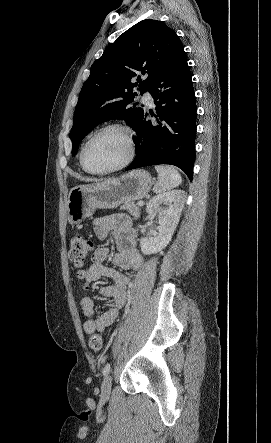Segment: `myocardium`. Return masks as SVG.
Masks as SVG:
<instances>
[{
  "label": "myocardium",
  "mask_w": 271,
  "mask_h": 443,
  "mask_svg": "<svg viewBox=\"0 0 271 443\" xmlns=\"http://www.w3.org/2000/svg\"><path fill=\"white\" fill-rule=\"evenodd\" d=\"M110 129H117L122 131L127 139L128 142V152L126 157L117 165L107 168V169H92L90 168L87 163H86V159H85V153H86V149L87 146L89 145V143L99 134H101L104 131L110 130ZM137 150H138V144H137V139H136V134L135 131L128 125L124 124V123H120V122H112L109 124H106L104 126H102L101 128H99L98 130H96L93 134H91L87 140L84 142V144L81 147V151H80V163L82 168L91 174H108V173H112L115 171H118L124 167H126L127 165H129L133 159L135 158L136 154H137Z\"/></svg>",
  "instance_id": "1"
}]
</instances>
